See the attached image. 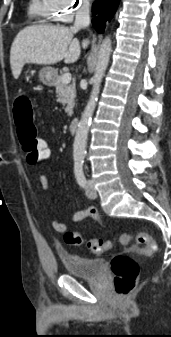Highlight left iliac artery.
Listing matches in <instances>:
<instances>
[{"label":"left iliac artery","instance_id":"left-iliac-artery-1","mask_svg":"<svg viewBox=\"0 0 171 337\" xmlns=\"http://www.w3.org/2000/svg\"><path fill=\"white\" fill-rule=\"evenodd\" d=\"M83 165H84V157L83 156L75 157V165H74L75 177L79 185L85 187L86 179L83 173Z\"/></svg>","mask_w":171,"mask_h":337}]
</instances>
